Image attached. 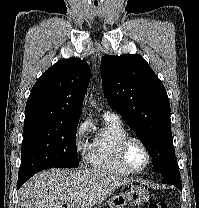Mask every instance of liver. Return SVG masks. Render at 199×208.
<instances>
[{
    "instance_id": "1",
    "label": "liver",
    "mask_w": 199,
    "mask_h": 208,
    "mask_svg": "<svg viewBox=\"0 0 199 208\" xmlns=\"http://www.w3.org/2000/svg\"><path fill=\"white\" fill-rule=\"evenodd\" d=\"M122 178L100 169L52 168L37 173L20 189L21 208H94L118 187L128 185Z\"/></svg>"
}]
</instances>
